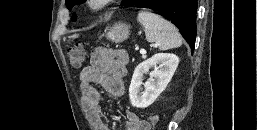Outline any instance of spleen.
Masks as SVG:
<instances>
[{
	"instance_id": "obj_1",
	"label": "spleen",
	"mask_w": 257,
	"mask_h": 130,
	"mask_svg": "<svg viewBox=\"0 0 257 130\" xmlns=\"http://www.w3.org/2000/svg\"><path fill=\"white\" fill-rule=\"evenodd\" d=\"M137 20L144 27L147 41L154 43L160 50L182 45V37L177 28L161 16L142 10L138 13Z\"/></svg>"
}]
</instances>
